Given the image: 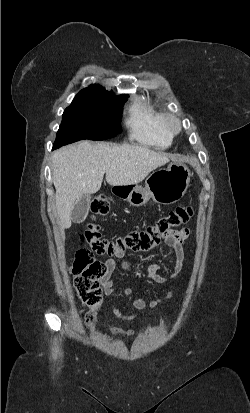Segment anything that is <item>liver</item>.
<instances>
[{
	"label": "liver",
	"instance_id": "6515ba94",
	"mask_svg": "<svg viewBox=\"0 0 250 413\" xmlns=\"http://www.w3.org/2000/svg\"><path fill=\"white\" fill-rule=\"evenodd\" d=\"M170 160L178 159L142 145H111L87 140L55 151L52 178L61 229L71 227V213L76 202L85 194L98 192L104 174L112 186L138 184Z\"/></svg>",
	"mask_w": 250,
	"mask_h": 413
}]
</instances>
